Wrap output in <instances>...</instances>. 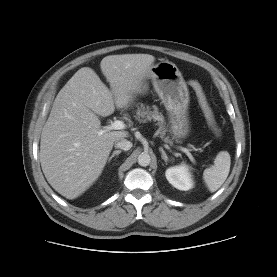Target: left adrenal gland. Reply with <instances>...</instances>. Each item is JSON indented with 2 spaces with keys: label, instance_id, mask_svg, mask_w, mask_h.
<instances>
[{
  "label": "left adrenal gland",
  "instance_id": "1",
  "mask_svg": "<svg viewBox=\"0 0 277 277\" xmlns=\"http://www.w3.org/2000/svg\"><path fill=\"white\" fill-rule=\"evenodd\" d=\"M159 150H160V152H161V154H162V159L166 162V164H167V162L169 161V158H168V156H167V154L165 153V151H164V149L162 148V147H160L159 148Z\"/></svg>",
  "mask_w": 277,
  "mask_h": 277
}]
</instances>
